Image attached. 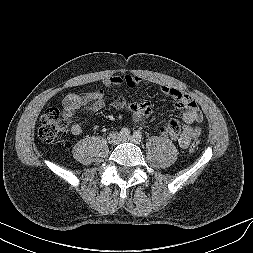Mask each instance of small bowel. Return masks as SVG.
I'll return each instance as SVG.
<instances>
[{"label":"small bowel","mask_w":253,"mask_h":253,"mask_svg":"<svg viewBox=\"0 0 253 253\" xmlns=\"http://www.w3.org/2000/svg\"><path fill=\"white\" fill-rule=\"evenodd\" d=\"M142 82L143 78L141 76L127 73L110 76L105 79L104 84L105 86L126 85L132 88ZM161 90L174 101L177 108L184 111L182 128L177 119H170L161 129V133L177 141L181 148H187L191 141L197 139L201 134V129L194 124L200 123L203 120V115L196 102L178 88L163 85ZM63 105L71 123L72 134L80 135L83 132L82 126L72 121L73 115L76 112L87 115L99 111L106 105V97L103 90L70 93L64 98ZM113 108L117 111L129 112L132 119L138 122H144L152 115V107L148 101L140 100L128 104L122 91L119 92L118 97L113 102Z\"/></svg>","instance_id":"small-bowel-1"}]
</instances>
